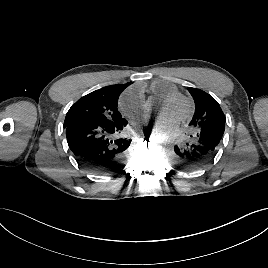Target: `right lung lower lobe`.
Wrapping results in <instances>:
<instances>
[{
	"label": "right lung lower lobe",
	"instance_id": "98d812e1",
	"mask_svg": "<svg viewBox=\"0 0 268 268\" xmlns=\"http://www.w3.org/2000/svg\"><path fill=\"white\" fill-rule=\"evenodd\" d=\"M127 123L123 118L111 125L77 121L66 126L67 142L77 162L99 175L118 171L131 144L122 133Z\"/></svg>",
	"mask_w": 268,
	"mask_h": 268
}]
</instances>
